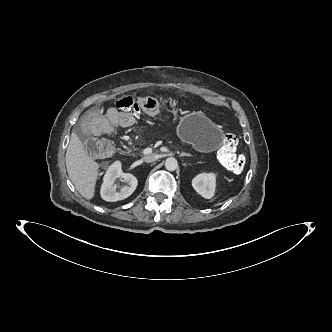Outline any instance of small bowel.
<instances>
[{
	"label": "small bowel",
	"mask_w": 332,
	"mask_h": 332,
	"mask_svg": "<svg viewBox=\"0 0 332 332\" xmlns=\"http://www.w3.org/2000/svg\"><path fill=\"white\" fill-rule=\"evenodd\" d=\"M138 105L141 109L152 114H157L161 110L160 103L147 95L139 97ZM101 120H107L105 125L107 130L113 129L116 125L128 127L133 123V117H130L127 113L112 109L107 102H100L95 109L86 110L77 117L75 127L82 132L84 140L94 142L99 137V129L96 125Z\"/></svg>",
	"instance_id": "c3829d8e"
}]
</instances>
